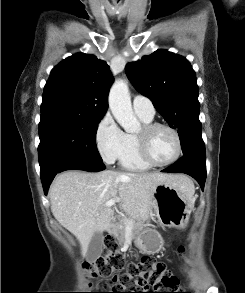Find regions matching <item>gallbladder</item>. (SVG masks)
Here are the masks:
<instances>
[{
  "label": "gallbladder",
  "mask_w": 245,
  "mask_h": 293,
  "mask_svg": "<svg viewBox=\"0 0 245 293\" xmlns=\"http://www.w3.org/2000/svg\"><path fill=\"white\" fill-rule=\"evenodd\" d=\"M104 236L102 232H95L88 245V250L86 253V260L89 262L96 261L101 253L103 247Z\"/></svg>",
  "instance_id": "bac80fb5"
}]
</instances>
